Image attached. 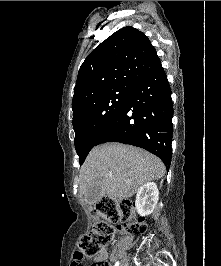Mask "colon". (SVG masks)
Wrapping results in <instances>:
<instances>
[{"label": "colon", "instance_id": "5ec220e1", "mask_svg": "<svg viewBox=\"0 0 221 266\" xmlns=\"http://www.w3.org/2000/svg\"><path fill=\"white\" fill-rule=\"evenodd\" d=\"M135 203L132 200L116 201L103 198L95 205L94 213L97 220L92 230L83 235L79 242V252L86 258H97L117 232L132 235L145 233L146 222L142 217H135ZM119 222H123L120 225ZM83 257H80L81 260ZM92 266H106L103 260H96Z\"/></svg>", "mask_w": 221, "mask_h": 266}]
</instances>
